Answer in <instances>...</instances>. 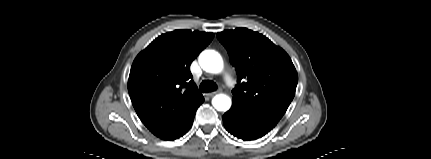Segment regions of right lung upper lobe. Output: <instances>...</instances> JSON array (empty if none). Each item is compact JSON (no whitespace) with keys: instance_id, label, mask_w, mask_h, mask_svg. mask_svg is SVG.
<instances>
[{"instance_id":"obj_1","label":"right lung upper lobe","mask_w":431,"mask_h":159,"mask_svg":"<svg viewBox=\"0 0 431 159\" xmlns=\"http://www.w3.org/2000/svg\"><path fill=\"white\" fill-rule=\"evenodd\" d=\"M213 33L175 30L156 38L135 58L128 80L134 109L157 137L172 132L203 96L190 65Z\"/></svg>"}]
</instances>
